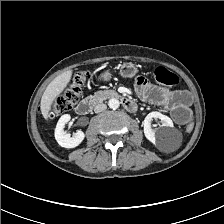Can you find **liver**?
I'll return each instance as SVG.
<instances>
[{"label":"liver","mask_w":224,"mask_h":224,"mask_svg":"<svg viewBox=\"0 0 224 224\" xmlns=\"http://www.w3.org/2000/svg\"><path fill=\"white\" fill-rule=\"evenodd\" d=\"M72 70L66 71L58 75L51 83L47 86L41 98V112L43 117L48 120L50 115L51 106L63 90L66 88L72 77Z\"/></svg>","instance_id":"liver-1"}]
</instances>
